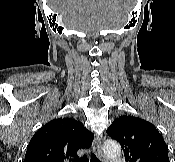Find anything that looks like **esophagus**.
Masks as SVG:
<instances>
[{"label": "esophagus", "mask_w": 175, "mask_h": 162, "mask_svg": "<svg viewBox=\"0 0 175 162\" xmlns=\"http://www.w3.org/2000/svg\"><path fill=\"white\" fill-rule=\"evenodd\" d=\"M93 150L96 156L98 157V159L100 160V162H105V157L101 150V141L99 139H95L93 141Z\"/></svg>", "instance_id": "1"}]
</instances>
